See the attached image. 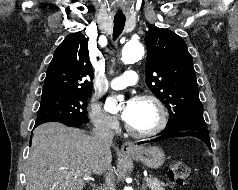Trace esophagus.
Masks as SVG:
<instances>
[{
	"label": "esophagus",
	"mask_w": 238,
	"mask_h": 190,
	"mask_svg": "<svg viewBox=\"0 0 238 190\" xmlns=\"http://www.w3.org/2000/svg\"><path fill=\"white\" fill-rule=\"evenodd\" d=\"M136 149H137L136 146L131 141H126L121 146V151L124 153L133 152Z\"/></svg>",
	"instance_id": "esophagus-1"
}]
</instances>
